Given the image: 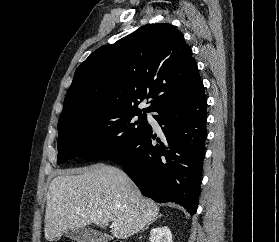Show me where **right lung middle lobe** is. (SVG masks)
Instances as JSON below:
<instances>
[{
  "label": "right lung middle lobe",
  "mask_w": 279,
  "mask_h": 242,
  "mask_svg": "<svg viewBox=\"0 0 279 242\" xmlns=\"http://www.w3.org/2000/svg\"><path fill=\"white\" fill-rule=\"evenodd\" d=\"M149 126L141 110L58 124L57 163L72 156L91 162L117 154L143 136Z\"/></svg>",
  "instance_id": "dd1d6c3e"
}]
</instances>
